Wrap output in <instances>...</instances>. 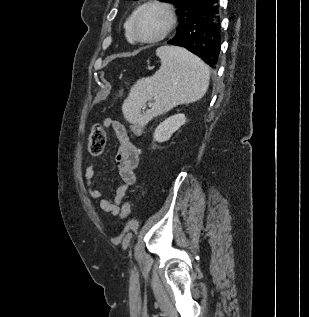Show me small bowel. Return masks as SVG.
Returning <instances> with one entry per match:
<instances>
[{"mask_svg": "<svg viewBox=\"0 0 309 317\" xmlns=\"http://www.w3.org/2000/svg\"><path fill=\"white\" fill-rule=\"evenodd\" d=\"M105 127H110L117 139L118 150L115 161L118 168L121 184L117 187L113 198L104 197L102 189L94 180L95 166L90 164L84 173V178L88 188V192L93 199L99 200L102 211L117 216L121 213V205L125 199L128 188L136 182V169L139 163V154L136 146L130 140L126 127L119 121L114 119H106Z\"/></svg>", "mask_w": 309, "mask_h": 317, "instance_id": "obj_1", "label": "small bowel"}]
</instances>
